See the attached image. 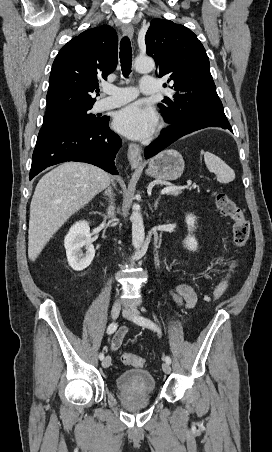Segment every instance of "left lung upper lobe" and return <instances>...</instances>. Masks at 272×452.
<instances>
[{
  "label": "left lung upper lobe",
  "mask_w": 272,
  "mask_h": 452,
  "mask_svg": "<svg viewBox=\"0 0 272 452\" xmlns=\"http://www.w3.org/2000/svg\"><path fill=\"white\" fill-rule=\"evenodd\" d=\"M146 53L159 77L175 91L159 104L167 122L198 124L227 120L210 73L206 51L197 36L181 24L154 19L145 36Z\"/></svg>",
  "instance_id": "obj_1"
}]
</instances>
